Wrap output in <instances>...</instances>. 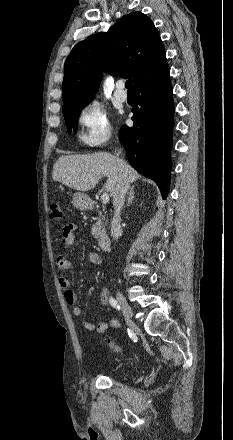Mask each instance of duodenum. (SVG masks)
<instances>
[{"instance_id": "obj_1", "label": "duodenum", "mask_w": 233, "mask_h": 440, "mask_svg": "<svg viewBox=\"0 0 233 440\" xmlns=\"http://www.w3.org/2000/svg\"><path fill=\"white\" fill-rule=\"evenodd\" d=\"M110 245H111V240L109 237L104 235L99 237V246L101 247V249L107 250L110 248Z\"/></svg>"}]
</instances>
